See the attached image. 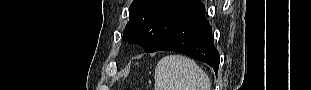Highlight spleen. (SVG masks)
Returning <instances> with one entry per match:
<instances>
[{"label": "spleen", "mask_w": 311, "mask_h": 90, "mask_svg": "<svg viewBox=\"0 0 311 90\" xmlns=\"http://www.w3.org/2000/svg\"><path fill=\"white\" fill-rule=\"evenodd\" d=\"M155 90H210L206 73L191 59L165 56L155 68Z\"/></svg>", "instance_id": "3e777b00"}]
</instances>
